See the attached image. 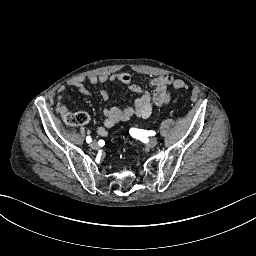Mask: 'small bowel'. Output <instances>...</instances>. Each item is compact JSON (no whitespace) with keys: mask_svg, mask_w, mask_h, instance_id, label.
Here are the masks:
<instances>
[{"mask_svg":"<svg viewBox=\"0 0 256 256\" xmlns=\"http://www.w3.org/2000/svg\"><path fill=\"white\" fill-rule=\"evenodd\" d=\"M87 80L92 85H104L108 82H119L127 85L128 89L139 94L133 106L126 108L111 107L103 111V124L97 127L96 132L100 137L108 136V129L115 126L120 121H127L132 117L148 119L154 107H162L168 103L171 97L170 85L173 78L170 75H162L150 81L154 88L153 93L146 91L141 85L133 81L132 76L128 72H118L113 74L90 75L87 78L77 77L72 79L69 83L78 89V91L85 95H90L91 92L87 89L84 82ZM66 87L61 86L57 91V105L56 110L59 114L65 115L67 107L64 103ZM99 95L103 100L109 98V92L102 87L99 90Z\"/></svg>","mask_w":256,"mask_h":256,"instance_id":"1","label":"small bowel"}]
</instances>
